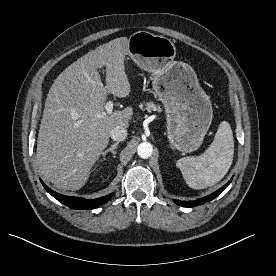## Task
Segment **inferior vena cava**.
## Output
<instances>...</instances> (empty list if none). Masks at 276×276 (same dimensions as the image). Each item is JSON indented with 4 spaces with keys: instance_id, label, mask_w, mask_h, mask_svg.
Listing matches in <instances>:
<instances>
[{
    "instance_id": "obj_1",
    "label": "inferior vena cava",
    "mask_w": 276,
    "mask_h": 276,
    "mask_svg": "<svg viewBox=\"0 0 276 276\" xmlns=\"http://www.w3.org/2000/svg\"><path fill=\"white\" fill-rule=\"evenodd\" d=\"M110 136L114 141H124L127 137V130L124 127L116 126L110 131Z\"/></svg>"
}]
</instances>
